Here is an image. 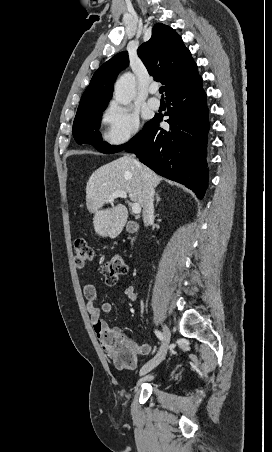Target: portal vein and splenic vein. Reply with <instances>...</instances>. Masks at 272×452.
Here are the masks:
<instances>
[{"mask_svg":"<svg viewBox=\"0 0 272 452\" xmlns=\"http://www.w3.org/2000/svg\"><path fill=\"white\" fill-rule=\"evenodd\" d=\"M118 197L126 199L127 193L122 190L115 191L109 196L108 201L113 202L114 199H116ZM131 208H132V212L134 214H139L141 212V206L138 203L131 204Z\"/></svg>","mask_w":272,"mask_h":452,"instance_id":"obj_1","label":"portal vein and splenic vein"}]
</instances>
